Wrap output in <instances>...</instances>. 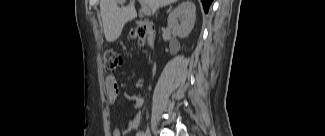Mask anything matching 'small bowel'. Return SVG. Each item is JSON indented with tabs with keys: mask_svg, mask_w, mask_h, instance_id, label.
Segmentation results:
<instances>
[{
	"mask_svg": "<svg viewBox=\"0 0 325 136\" xmlns=\"http://www.w3.org/2000/svg\"><path fill=\"white\" fill-rule=\"evenodd\" d=\"M105 90H106V99L108 103L113 104L116 102L118 97L120 96V89L118 87L117 79L114 75H109L105 78ZM123 97L133 102V107L135 113L133 117L129 120L127 126L124 129H114L112 132V136H122L127 134L128 132L137 129L140 126L141 122V112L140 109L143 106L144 100L142 96L138 94H130L124 93Z\"/></svg>",
	"mask_w": 325,
	"mask_h": 136,
	"instance_id": "obj_1",
	"label": "small bowel"
}]
</instances>
